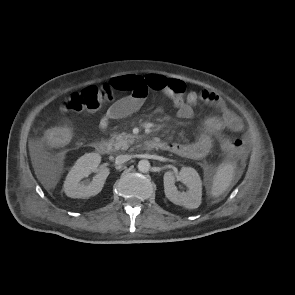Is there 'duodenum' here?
<instances>
[{
  "label": "duodenum",
  "mask_w": 295,
  "mask_h": 295,
  "mask_svg": "<svg viewBox=\"0 0 295 295\" xmlns=\"http://www.w3.org/2000/svg\"><path fill=\"white\" fill-rule=\"evenodd\" d=\"M94 146L100 154L107 155L112 152V144L109 141L100 140L95 142ZM145 147L147 149H163L164 145L163 142L157 139L150 138L146 140Z\"/></svg>",
  "instance_id": "duodenum-1"
}]
</instances>
